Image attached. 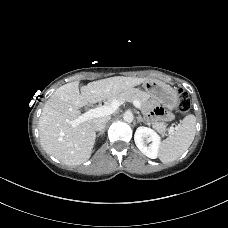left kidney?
I'll return each instance as SVG.
<instances>
[{
    "mask_svg": "<svg viewBox=\"0 0 228 228\" xmlns=\"http://www.w3.org/2000/svg\"><path fill=\"white\" fill-rule=\"evenodd\" d=\"M160 136L151 128L138 127L134 141L138 149L147 157L156 159L160 148Z\"/></svg>",
    "mask_w": 228,
    "mask_h": 228,
    "instance_id": "1",
    "label": "left kidney"
}]
</instances>
